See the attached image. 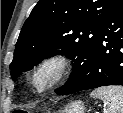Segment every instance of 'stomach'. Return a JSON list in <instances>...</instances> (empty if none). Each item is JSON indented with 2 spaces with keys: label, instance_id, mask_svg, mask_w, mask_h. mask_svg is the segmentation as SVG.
Returning <instances> with one entry per match:
<instances>
[{
  "label": "stomach",
  "instance_id": "0dacf381",
  "mask_svg": "<svg viewBox=\"0 0 123 113\" xmlns=\"http://www.w3.org/2000/svg\"><path fill=\"white\" fill-rule=\"evenodd\" d=\"M85 106L82 101H73L66 105L60 113H84Z\"/></svg>",
  "mask_w": 123,
  "mask_h": 113
}]
</instances>
